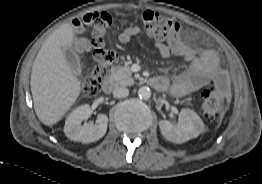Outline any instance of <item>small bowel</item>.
<instances>
[{"mask_svg":"<svg viewBox=\"0 0 262 184\" xmlns=\"http://www.w3.org/2000/svg\"><path fill=\"white\" fill-rule=\"evenodd\" d=\"M75 31H82V23L79 19L72 21ZM143 31L139 27H128L119 33V40L122 43L131 41L134 37L142 35ZM78 51H88L91 48L90 41L87 38H80L75 42ZM155 46L158 53L163 58L178 56L183 58L187 63V68L179 74L173 81H169L164 76L154 78L161 91H170L175 97L183 98L200 90L213 82V78L220 72H223L218 55L211 49H196L176 35L167 42H156Z\"/></svg>","mask_w":262,"mask_h":184,"instance_id":"small-bowel-1","label":"small bowel"}]
</instances>
